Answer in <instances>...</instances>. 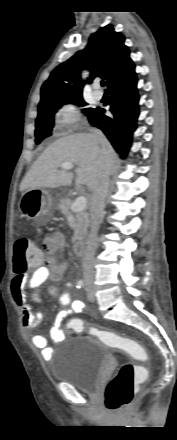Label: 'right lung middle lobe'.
<instances>
[{"label": "right lung middle lobe", "instance_id": "1", "mask_svg": "<svg viewBox=\"0 0 177 440\" xmlns=\"http://www.w3.org/2000/svg\"><path fill=\"white\" fill-rule=\"evenodd\" d=\"M68 103L76 104L78 106L87 105L82 96H77L38 106V117L36 119L35 129V142L37 144H39L46 137L52 135L51 132L54 126V114L61 106ZM93 110V108H85L83 109V112L88 115Z\"/></svg>", "mask_w": 177, "mask_h": 440}]
</instances>
